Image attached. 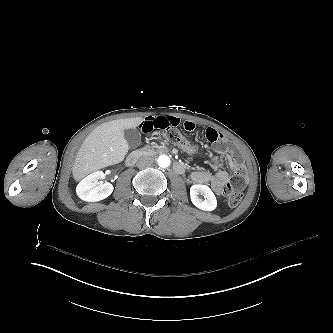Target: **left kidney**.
<instances>
[{
  "label": "left kidney",
  "instance_id": "5707ae66",
  "mask_svg": "<svg viewBox=\"0 0 333 333\" xmlns=\"http://www.w3.org/2000/svg\"><path fill=\"white\" fill-rule=\"evenodd\" d=\"M198 193L205 194V199L200 200ZM191 202L200 210L214 211L217 207V199L209 186L203 184H194L190 187Z\"/></svg>",
  "mask_w": 333,
  "mask_h": 333
}]
</instances>
